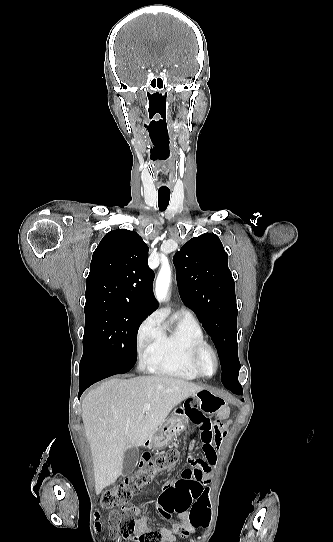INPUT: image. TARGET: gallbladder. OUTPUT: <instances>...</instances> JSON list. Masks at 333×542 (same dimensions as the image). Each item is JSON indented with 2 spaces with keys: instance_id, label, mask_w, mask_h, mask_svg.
<instances>
[{
  "instance_id": "obj_1",
  "label": "gallbladder",
  "mask_w": 333,
  "mask_h": 542,
  "mask_svg": "<svg viewBox=\"0 0 333 542\" xmlns=\"http://www.w3.org/2000/svg\"><path fill=\"white\" fill-rule=\"evenodd\" d=\"M139 460L138 448H132V450H126L123 458V470L122 476H130L134 472L137 462Z\"/></svg>"
}]
</instances>
